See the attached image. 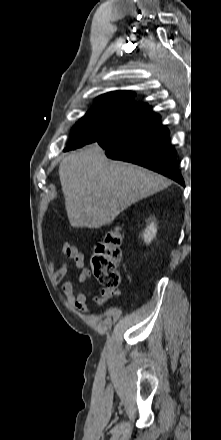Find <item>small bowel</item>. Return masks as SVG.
I'll return each instance as SVG.
<instances>
[{
  "mask_svg": "<svg viewBox=\"0 0 221 440\" xmlns=\"http://www.w3.org/2000/svg\"><path fill=\"white\" fill-rule=\"evenodd\" d=\"M62 255L64 261L58 269H55V264L51 260L48 264L49 270L52 274V278L55 282L62 281L69 271L70 264H73L76 268L80 269V273L77 278L78 284H84L91 276L90 270L85 267L84 255L83 253L73 244L69 242H64L62 244ZM63 292L67 298L68 304L74 306L77 310L90 314L91 311L87 307V297L83 292L74 294V285L70 281H65L63 283ZM118 292L114 289L102 288L99 293L93 296L92 300L99 306H104L109 303V301L116 297Z\"/></svg>",
  "mask_w": 221,
  "mask_h": 440,
  "instance_id": "obj_1",
  "label": "small bowel"
}]
</instances>
